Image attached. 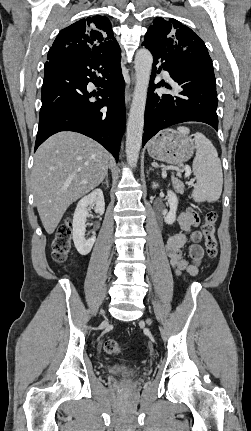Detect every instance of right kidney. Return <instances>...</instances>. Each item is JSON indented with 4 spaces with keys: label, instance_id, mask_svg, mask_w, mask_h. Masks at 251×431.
<instances>
[{
    "label": "right kidney",
    "instance_id": "obj_1",
    "mask_svg": "<svg viewBox=\"0 0 251 431\" xmlns=\"http://www.w3.org/2000/svg\"><path fill=\"white\" fill-rule=\"evenodd\" d=\"M95 205V212L103 215L105 211L104 195L101 189L93 190L89 195L84 196L77 204L73 216V241L77 251L81 255L90 253L96 237L92 236L89 239L85 238L86 218L89 215L88 206Z\"/></svg>",
    "mask_w": 251,
    "mask_h": 431
}]
</instances>
